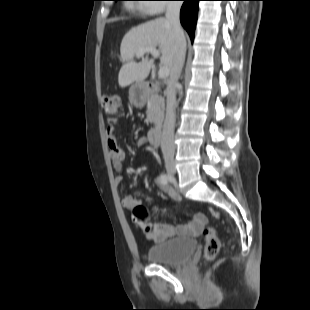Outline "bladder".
Returning a JSON list of instances; mask_svg holds the SVG:
<instances>
[{
    "label": "bladder",
    "mask_w": 310,
    "mask_h": 310,
    "mask_svg": "<svg viewBox=\"0 0 310 310\" xmlns=\"http://www.w3.org/2000/svg\"><path fill=\"white\" fill-rule=\"evenodd\" d=\"M197 248L195 239L170 238L149 247L147 259L152 264L176 266L191 259Z\"/></svg>",
    "instance_id": "31cf9c89"
}]
</instances>
